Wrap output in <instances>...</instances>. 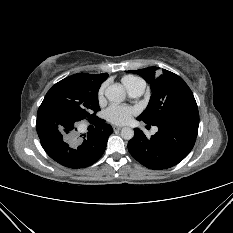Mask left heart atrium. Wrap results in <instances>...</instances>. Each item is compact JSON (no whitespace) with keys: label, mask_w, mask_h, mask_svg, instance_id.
Listing matches in <instances>:
<instances>
[{"label":"left heart atrium","mask_w":233,"mask_h":233,"mask_svg":"<svg viewBox=\"0 0 233 233\" xmlns=\"http://www.w3.org/2000/svg\"><path fill=\"white\" fill-rule=\"evenodd\" d=\"M136 110L132 107L113 104L109 106L105 112V119L115 125H124L128 123Z\"/></svg>","instance_id":"left-heart-atrium-1"}]
</instances>
